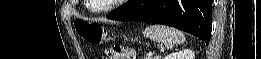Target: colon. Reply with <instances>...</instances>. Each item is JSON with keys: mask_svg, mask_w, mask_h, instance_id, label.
<instances>
[{"mask_svg": "<svg viewBox=\"0 0 261 59\" xmlns=\"http://www.w3.org/2000/svg\"><path fill=\"white\" fill-rule=\"evenodd\" d=\"M77 33L88 43L93 45H100L106 40V29L98 23L76 22ZM109 59H134V52L123 46H113L107 50V57Z\"/></svg>", "mask_w": 261, "mask_h": 59, "instance_id": "5ec220e1", "label": "colon"}]
</instances>
